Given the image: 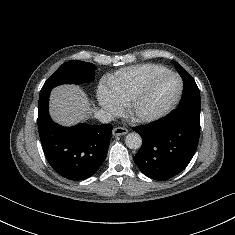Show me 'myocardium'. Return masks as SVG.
I'll list each match as a JSON object with an SVG mask.
<instances>
[{
	"mask_svg": "<svg viewBox=\"0 0 235 235\" xmlns=\"http://www.w3.org/2000/svg\"><path fill=\"white\" fill-rule=\"evenodd\" d=\"M163 77H174L178 80L179 90H178L176 97L173 99V101L170 104H168L165 108H163L162 110L158 112H155L152 114L142 113L140 111L141 104L143 103L146 96L148 95L152 84L156 80L163 78ZM183 90H184L183 80L177 73L167 70L164 72L154 74L146 80V82L144 83L140 91L134 96V98L127 105L128 114L134 121L140 122V123H150V122L157 121L163 118L164 116L168 115L178 105L183 95Z\"/></svg>",
	"mask_w": 235,
	"mask_h": 235,
	"instance_id": "f54148a6",
	"label": "myocardium"
}]
</instances>
